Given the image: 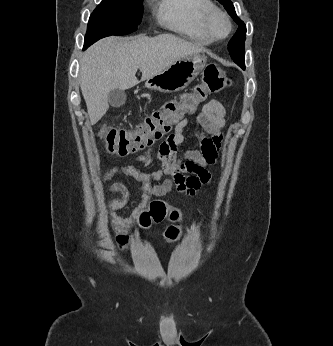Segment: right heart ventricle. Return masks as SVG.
I'll return each mask as SVG.
<instances>
[{
    "label": "right heart ventricle",
    "instance_id": "e07e8e85",
    "mask_svg": "<svg viewBox=\"0 0 333 346\" xmlns=\"http://www.w3.org/2000/svg\"><path fill=\"white\" fill-rule=\"evenodd\" d=\"M214 6L211 0H159L156 5L158 22L199 44L212 38L204 25L206 13Z\"/></svg>",
    "mask_w": 333,
    "mask_h": 346
}]
</instances>
